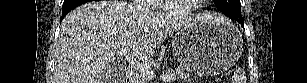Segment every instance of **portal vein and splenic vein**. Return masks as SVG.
<instances>
[{"instance_id": "1", "label": "portal vein and splenic vein", "mask_w": 307, "mask_h": 83, "mask_svg": "<svg viewBox=\"0 0 307 83\" xmlns=\"http://www.w3.org/2000/svg\"><path fill=\"white\" fill-rule=\"evenodd\" d=\"M119 54L123 55L127 61H129L131 64H133L138 69V71L140 72V74L144 78L152 79L154 72L151 70V68L149 66H147L146 64L138 62V60H136L133 56H131L129 54V48L128 47L122 49ZM161 77L165 81L172 80L170 75L169 76H161Z\"/></svg>"}]
</instances>
